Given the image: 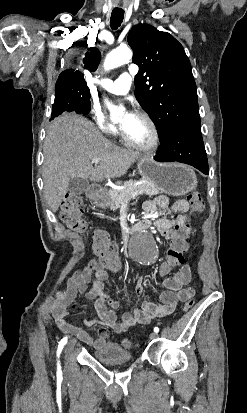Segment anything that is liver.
<instances>
[{
  "instance_id": "liver-1",
  "label": "liver",
  "mask_w": 247,
  "mask_h": 413,
  "mask_svg": "<svg viewBox=\"0 0 247 413\" xmlns=\"http://www.w3.org/2000/svg\"><path fill=\"white\" fill-rule=\"evenodd\" d=\"M43 152L44 194L52 213L65 198L70 178L81 176L93 182L116 178L140 158L139 152L116 146L91 120L75 112H65L51 122ZM92 158L100 162L92 166Z\"/></svg>"
}]
</instances>
